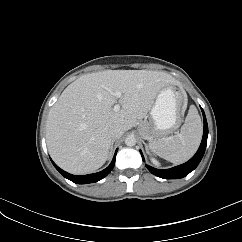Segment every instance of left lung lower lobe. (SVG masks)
I'll use <instances>...</instances> for the list:
<instances>
[{
  "label": "left lung lower lobe",
  "mask_w": 242,
  "mask_h": 242,
  "mask_svg": "<svg viewBox=\"0 0 242 242\" xmlns=\"http://www.w3.org/2000/svg\"><path fill=\"white\" fill-rule=\"evenodd\" d=\"M201 110H202L203 119H204V132H203V138H202L201 145H200L198 151L196 152V154L186 163L173 167V168H170V169L160 170V169H155L151 166L146 165L147 169L152 174H154L160 178H164V179H178V178H183V177L187 176L191 171H193L198 166L199 162L201 161V159L204 155L206 145H207V136H208L207 120H206L205 113L202 108H201ZM141 155H142V158L144 161L142 152H141Z\"/></svg>",
  "instance_id": "obj_1"
}]
</instances>
